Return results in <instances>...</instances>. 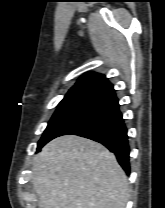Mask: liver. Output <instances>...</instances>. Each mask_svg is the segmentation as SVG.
<instances>
[{
	"mask_svg": "<svg viewBox=\"0 0 165 208\" xmlns=\"http://www.w3.org/2000/svg\"><path fill=\"white\" fill-rule=\"evenodd\" d=\"M32 171L40 208H125L128 201L127 176L115 155L84 137L53 139Z\"/></svg>",
	"mask_w": 165,
	"mask_h": 208,
	"instance_id": "liver-1",
	"label": "liver"
}]
</instances>
